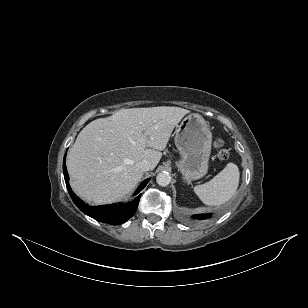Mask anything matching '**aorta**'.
<instances>
[{
    "label": "aorta",
    "mask_w": 308,
    "mask_h": 308,
    "mask_svg": "<svg viewBox=\"0 0 308 308\" xmlns=\"http://www.w3.org/2000/svg\"><path fill=\"white\" fill-rule=\"evenodd\" d=\"M171 181V177L167 172H161L156 176V182L158 185L165 187L169 185Z\"/></svg>",
    "instance_id": "762f6f07"
}]
</instances>
